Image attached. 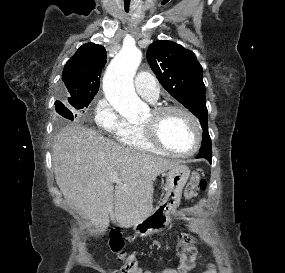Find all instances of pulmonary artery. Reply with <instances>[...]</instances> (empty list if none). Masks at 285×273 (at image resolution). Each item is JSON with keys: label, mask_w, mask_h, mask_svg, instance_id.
I'll list each match as a JSON object with an SVG mask.
<instances>
[{"label": "pulmonary artery", "mask_w": 285, "mask_h": 273, "mask_svg": "<svg viewBox=\"0 0 285 273\" xmlns=\"http://www.w3.org/2000/svg\"><path fill=\"white\" fill-rule=\"evenodd\" d=\"M134 85L137 92L149 101H156L159 97V85L152 74L139 71L135 77Z\"/></svg>", "instance_id": "pulmonary-artery-1"}]
</instances>
